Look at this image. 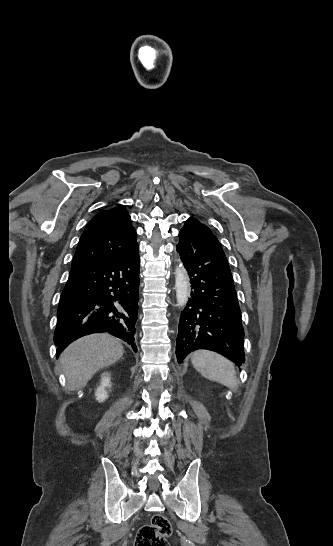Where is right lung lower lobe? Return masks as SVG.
<instances>
[{
	"label": "right lung lower lobe",
	"instance_id": "obj_1",
	"mask_svg": "<svg viewBox=\"0 0 333 546\" xmlns=\"http://www.w3.org/2000/svg\"><path fill=\"white\" fill-rule=\"evenodd\" d=\"M139 266L137 244L114 260L71 268L57 312V356L76 339L99 332L116 336L137 351Z\"/></svg>",
	"mask_w": 333,
	"mask_h": 546
}]
</instances>
